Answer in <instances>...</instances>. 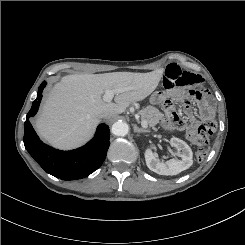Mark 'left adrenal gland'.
<instances>
[{
  "label": "left adrenal gland",
  "mask_w": 245,
  "mask_h": 245,
  "mask_svg": "<svg viewBox=\"0 0 245 245\" xmlns=\"http://www.w3.org/2000/svg\"><path fill=\"white\" fill-rule=\"evenodd\" d=\"M133 129H134V132L138 133V134H140V133H149L150 132L149 130H145V129L139 128L137 125H134Z\"/></svg>",
  "instance_id": "left-adrenal-gland-1"
}]
</instances>
